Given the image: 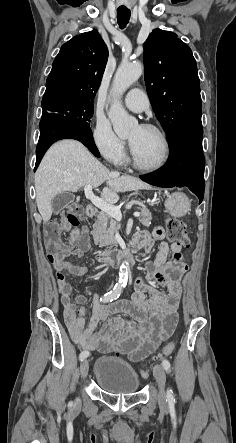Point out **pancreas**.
Segmentation results:
<instances>
[{
  "label": "pancreas",
  "mask_w": 236,
  "mask_h": 443,
  "mask_svg": "<svg viewBox=\"0 0 236 443\" xmlns=\"http://www.w3.org/2000/svg\"><path fill=\"white\" fill-rule=\"evenodd\" d=\"M141 211L140 223L149 227L151 225L152 216L150 211L146 207L138 208ZM120 229L118 222L109 216L105 212H100L97 215V220L93 225V231L91 232L95 245L99 247L115 246L116 239L115 233Z\"/></svg>",
  "instance_id": "1"
}]
</instances>
